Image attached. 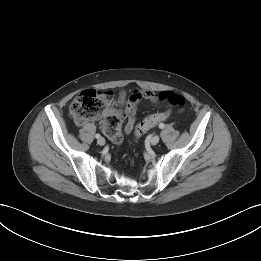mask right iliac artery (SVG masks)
Returning a JSON list of instances; mask_svg holds the SVG:
<instances>
[{
    "instance_id": "right-iliac-artery-1",
    "label": "right iliac artery",
    "mask_w": 261,
    "mask_h": 261,
    "mask_svg": "<svg viewBox=\"0 0 261 261\" xmlns=\"http://www.w3.org/2000/svg\"><path fill=\"white\" fill-rule=\"evenodd\" d=\"M95 137H96L97 139H99V138H100V134H96Z\"/></svg>"
}]
</instances>
